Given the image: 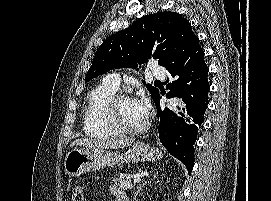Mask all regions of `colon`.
<instances>
[{
    "label": "colon",
    "mask_w": 271,
    "mask_h": 201,
    "mask_svg": "<svg viewBox=\"0 0 271 201\" xmlns=\"http://www.w3.org/2000/svg\"><path fill=\"white\" fill-rule=\"evenodd\" d=\"M84 198H85L84 187L80 184L76 185L73 188L72 201H84Z\"/></svg>",
    "instance_id": "obj_1"
}]
</instances>
